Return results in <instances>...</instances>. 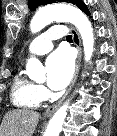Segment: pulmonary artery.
Returning <instances> with one entry per match:
<instances>
[{"instance_id":"obj_1","label":"pulmonary artery","mask_w":117,"mask_h":136,"mask_svg":"<svg viewBox=\"0 0 117 136\" xmlns=\"http://www.w3.org/2000/svg\"><path fill=\"white\" fill-rule=\"evenodd\" d=\"M66 35V31L60 26H53L39 34L28 46L31 55H42L49 52L54 41Z\"/></svg>"}]
</instances>
